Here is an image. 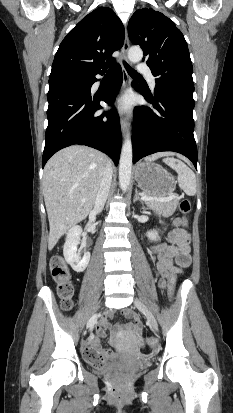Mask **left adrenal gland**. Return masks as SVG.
<instances>
[{
	"instance_id": "1",
	"label": "left adrenal gland",
	"mask_w": 233,
	"mask_h": 413,
	"mask_svg": "<svg viewBox=\"0 0 233 413\" xmlns=\"http://www.w3.org/2000/svg\"><path fill=\"white\" fill-rule=\"evenodd\" d=\"M133 201H134V202L139 201V202H141V203L143 204V201H142V199L140 198V196H139V194H138V189H137V188H135V196H134Z\"/></svg>"
}]
</instances>
